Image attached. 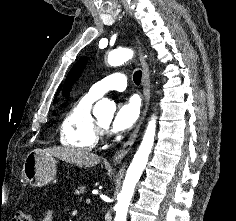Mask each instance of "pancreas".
Listing matches in <instances>:
<instances>
[{
    "label": "pancreas",
    "mask_w": 236,
    "mask_h": 221,
    "mask_svg": "<svg viewBox=\"0 0 236 221\" xmlns=\"http://www.w3.org/2000/svg\"><path fill=\"white\" fill-rule=\"evenodd\" d=\"M85 187H79L78 190L75 191V194L78 196H81L80 198H82V195L85 193Z\"/></svg>",
    "instance_id": "1"
}]
</instances>
